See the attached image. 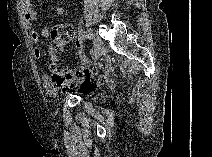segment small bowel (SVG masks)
<instances>
[{"mask_svg":"<svg viewBox=\"0 0 212 157\" xmlns=\"http://www.w3.org/2000/svg\"><path fill=\"white\" fill-rule=\"evenodd\" d=\"M21 9L23 14V24L26 28L27 32L30 35V38L35 43L34 49H33V56L36 59H39L43 51L39 45V39L40 37L47 38L50 34L49 27L45 26L41 29L40 34L34 29L32 26L33 21L36 19L37 13L36 10L33 8L32 3L29 0H23L21 1ZM65 14V10L62 6H57L55 8V15L57 17H62ZM76 48L79 51H82L84 48L83 42L79 39L75 43ZM47 53L50 57V60L52 62L57 61V55L55 53V49L52 45L48 47ZM41 80L43 83L44 90L51 96H55L57 94V88L52 84L51 82V76L49 74H43L41 76Z\"/></svg>","mask_w":212,"mask_h":157,"instance_id":"c3829d8e","label":"small bowel"}]
</instances>
